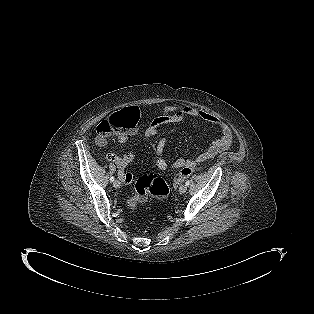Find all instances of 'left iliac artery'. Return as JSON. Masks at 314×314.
Returning <instances> with one entry per match:
<instances>
[{
    "mask_svg": "<svg viewBox=\"0 0 314 314\" xmlns=\"http://www.w3.org/2000/svg\"><path fill=\"white\" fill-rule=\"evenodd\" d=\"M190 183H191V181H190V180H187L185 184H186L187 186H189Z\"/></svg>",
    "mask_w": 314,
    "mask_h": 314,
    "instance_id": "44dca946",
    "label": "left iliac artery"
}]
</instances>
